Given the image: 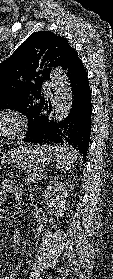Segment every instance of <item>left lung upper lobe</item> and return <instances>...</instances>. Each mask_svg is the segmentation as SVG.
I'll use <instances>...</instances> for the list:
<instances>
[{"label": "left lung upper lobe", "mask_w": 113, "mask_h": 279, "mask_svg": "<svg viewBox=\"0 0 113 279\" xmlns=\"http://www.w3.org/2000/svg\"><path fill=\"white\" fill-rule=\"evenodd\" d=\"M74 51L68 40L50 31L31 34L15 52L0 63V110L16 109L31 128L44 102L42 86L50 79V67L62 66Z\"/></svg>", "instance_id": "obj_1"}]
</instances>
